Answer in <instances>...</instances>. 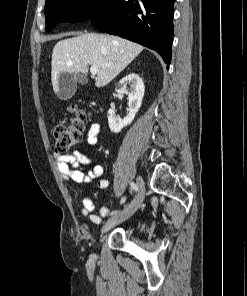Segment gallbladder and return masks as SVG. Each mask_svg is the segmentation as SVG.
<instances>
[{"label":"gallbladder","instance_id":"bac80fb5","mask_svg":"<svg viewBox=\"0 0 247 296\" xmlns=\"http://www.w3.org/2000/svg\"><path fill=\"white\" fill-rule=\"evenodd\" d=\"M78 79L82 84H85L87 81L83 76H79ZM58 87V97L61 100H68L75 94L77 80L73 74L68 72L61 73L59 76Z\"/></svg>","mask_w":247,"mask_h":296}]
</instances>
